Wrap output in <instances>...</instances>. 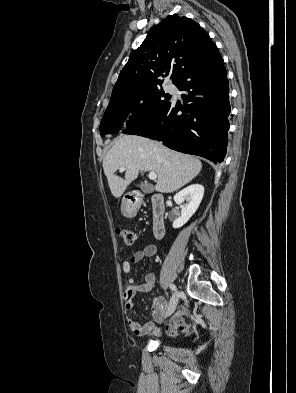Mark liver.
Here are the masks:
<instances>
[{
    "label": "liver",
    "instance_id": "obj_1",
    "mask_svg": "<svg viewBox=\"0 0 296 393\" xmlns=\"http://www.w3.org/2000/svg\"><path fill=\"white\" fill-rule=\"evenodd\" d=\"M121 167L125 168V179L115 174ZM103 169L112 195L120 198L140 171L155 172V190L172 193L194 179L201 171L202 163L148 138L124 135L107 152Z\"/></svg>",
    "mask_w": 296,
    "mask_h": 393
}]
</instances>
